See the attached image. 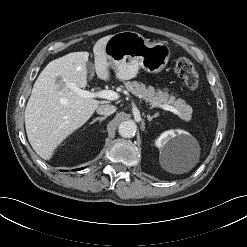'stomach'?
Listing matches in <instances>:
<instances>
[{
	"instance_id": "0dacf381",
	"label": "stomach",
	"mask_w": 247,
	"mask_h": 247,
	"mask_svg": "<svg viewBox=\"0 0 247 247\" xmlns=\"http://www.w3.org/2000/svg\"><path fill=\"white\" fill-rule=\"evenodd\" d=\"M105 52L109 66L121 80L134 78L140 67L159 73L167 65L170 48L162 42H149L133 31L118 32L110 37Z\"/></svg>"
}]
</instances>
